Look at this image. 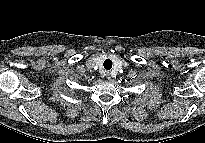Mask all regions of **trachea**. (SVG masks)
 <instances>
[{
  "label": "trachea",
  "mask_w": 205,
  "mask_h": 143,
  "mask_svg": "<svg viewBox=\"0 0 205 143\" xmlns=\"http://www.w3.org/2000/svg\"><path fill=\"white\" fill-rule=\"evenodd\" d=\"M105 69L110 70L112 68V61L110 59H106L103 63Z\"/></svg>",
  "instance_id": "1"
}]
</instances>
